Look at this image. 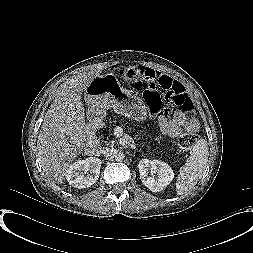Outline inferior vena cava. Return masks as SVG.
<instances>
[{"label":"inferior vena cava","mask_w":253,"mask_h":253,"mask_svg":"<svg viewBox=\"0 0 253 253\" xmlns=\"http://www.w3.org/2000/svg\"><path fill=\"white\" fill-rule=\"evenodd\" d=\"M112 149H106L104 150V154H112Z\"/></svg>","instance_id":"obj_1"}]
</instances>
